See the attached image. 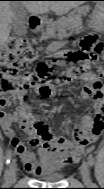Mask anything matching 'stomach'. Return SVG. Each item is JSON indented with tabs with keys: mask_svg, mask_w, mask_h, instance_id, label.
I'll return each mask as SVG.
<instances>
[{
	"mask_svg": "<svg viewBox=\"0 0 104 189\" xmlns=\"http://www.w3.org/2000/svg\"><path fill=\"white\" fill-rule=\"evenodd\" d=\"M102 8L103 4L101 2H97L92 14L91 26L96 27L99 24L100 18L102 16Z\"/></svg>",
	"mask_w": 104,
	"mask_h": 189,
	"instance_id": "1",
	"label": "stomach"
}]
</instances>
